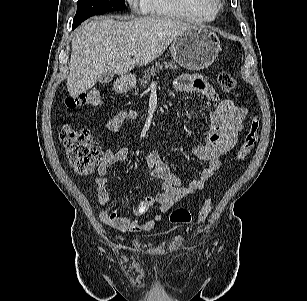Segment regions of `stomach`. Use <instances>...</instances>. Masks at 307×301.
<instances>
[{
	"label": "stomach",
	"mask_w": 307,
	"mask_h": 301,
	"mask_svg": "<svg viewBox=\"0 0 307 301\" xmlns=\"http://www.w3.org/2000/svg\"><path fill=\"white\" fill-rule=\"evenodd\" d=\"M172 57L178 65L189 70H202L209 67L221 51L217 36L206 28L191 27L183 31L170 47ZM132 77H122L115 83L119 93L132 87Z\"/></svg>",
	"instance_id": "1"
}]
</instances>
